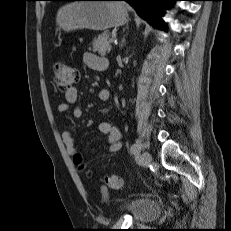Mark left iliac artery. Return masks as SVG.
<instances>
[{
	"label": "left iliac artery",
	"mask_w": 231,
	"mask_h": 231,
	"mask_svg": "<svg viewBox=\"0 0 231 231\" xmlns=\"http://www.w3.org/2000/svg\"><path fill=\"white\" fill-rule=\"evenodd\" d=\"M131 153L134 154V155H139L140 151H141V144L136 142L135 144H133L131 146V149H130Z\"/></svg>",
	"instance_id": "44dca946"
}]
</instances>
